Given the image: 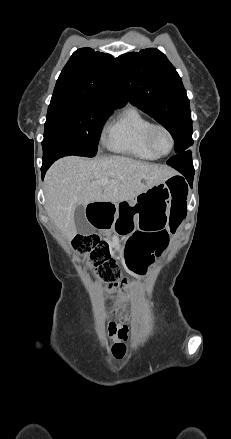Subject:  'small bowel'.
Segmentation results:
<instances>
[{
    "mask_svg": "<svg viewBox=\"0 0 231 439\" xmlns=\"http://www.w3.org/2000/svg\"><path fill=\"white\" fill-rule=\"evenodd\" d=\"M174 231L169 226H163L154 230H138L137 234L143 237L140 244V253L133 254L131 243L127 244V256L131 264L140 269H146L151 266L156 258L161 256L168 246L170 236ZM133 238V237H132ZM131 238V239H132ZM109 333L114 339L115 344L112 353L116 358L123 357L125 353V340L127 337L126 326L116 323H109Z\"/></svg>",
    "mask_w": 231,
    "mask_h": 439,
    "instance_id": "c3829d8e",
    "label": "small bowel"
}]
</instances>
